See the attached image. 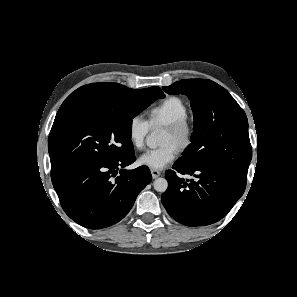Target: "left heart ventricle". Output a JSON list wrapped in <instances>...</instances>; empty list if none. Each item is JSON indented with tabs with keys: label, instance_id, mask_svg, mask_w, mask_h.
<instances>
[{
	"label": "left heart ventricle",
	"instance_id": "left-heart-ventricle-1",
	"mask_svg": "<svg viewBox=\"0 0 297 297\" xmlns=\"http://www.w3.org/2000/svg\"><path fill=\"white\" fill-rule=\"evenodd\" d=\"M170 142L176 144V139H175L174 135L166 129L164 132L163 138H162V144L164 145V144L170 143Z\"/></svg>",
	"mask_w": 297,
	"mask_h": 297
}]
</instances>
